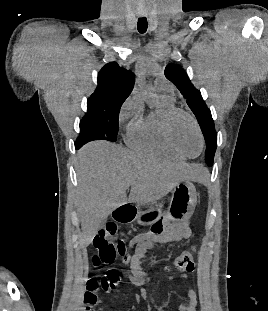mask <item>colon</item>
I'll use <instances>...</instances> for the list:
<instances>
[{
  "label": "colon",
  "instance_id": "obj_1",
  "mask_svg": "<svg viewBox=\"0 0 268 311\" xmlns=\"http://www.w3.org/2000/svg\"><path fill=\"white\" fill-rule=\"evenodd\" d=\"M116 233L117 226L114 223H110L94 238L93 244L96 253L93 255L92 262L95 266L110 265L114 263L118 255L128 260L125 243L123 241L114 242ZM194 255V248L183 251L174 260L173 268L179 271H192L194 268ZM121 278L120 270L111 269L100 281L95 279L89 280L84 295L85 306L83 311H95L99 287L104 291H111L120 283Z\"/></svg>",
  "mask_w": 268,
  "mask_h": 311
}]
</instances>
